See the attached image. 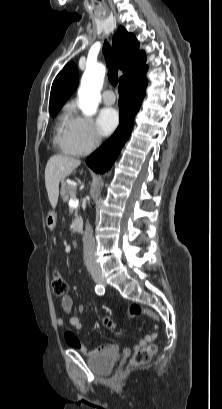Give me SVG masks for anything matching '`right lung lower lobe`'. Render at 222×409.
Returning <instances> with one entry per match:
<instances>
[{"instance_id":"obj_1","label":"right lung lower lobe","mask_w":222,"mask_h":409,"mask_svg":"<svg viewBox=\"0 0 222 409\" xmlns=\"http://www.w3.org/2000/svg\"><path fill=\"white\" fill-rule=\"evenodd\" d=\"M147 80L145 73L119 84L120 124L115 133L99 149L86 159L97 173L108 171L128 139L133 121L145 96Z\"/></svg>"}]
</instances>
